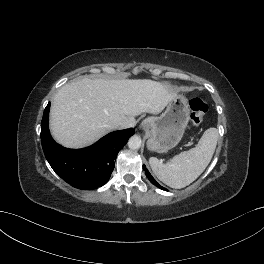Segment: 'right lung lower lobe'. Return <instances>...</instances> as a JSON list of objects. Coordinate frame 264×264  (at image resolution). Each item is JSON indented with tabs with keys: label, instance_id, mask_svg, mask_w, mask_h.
I'll return each mask as SVG.
<instances>
[{
	"label": "right lung lower lobe",
	"instance_id": "right-lung-lower-lobe-1",
	"mask_svg": "<svg viewBox=\"0 0 264 264\" xmlns=\"http://www.w3.org/2000/svg\"><path fill=\"white\" fill-rule=\"evenodd\" d=\"M50 103L41 122V143L46 159L56 174L71 186L93 190L106 184L118 152L134 135V130L115 131L84 149H67L57 144L48 128Z\"/></svg>",
	"mask_w": 264,
	"mask_h": 264
}]
</instances>
